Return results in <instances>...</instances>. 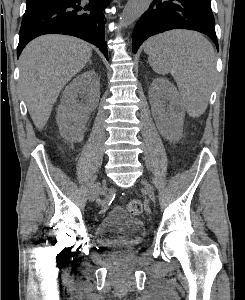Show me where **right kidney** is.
<instances>
[{
    "mask_svg": "<svg viewBox=\"0 0 245 300\" xmlns=\"http://www.w3.org/2000/svg\"><path fill=\"white\" fill-rule=\"evenodd\" d=\"M78 97L82 100L79 101ZM99 99V78L94 70L85 71L73 79L65 88L57 111L61 136L71 142H80L85 124Z\"/></svg>",
    "mask_w": 245,
    "mask_h": 300,
    "instance_id": "right-kidney-1",
    "label": "right kidney"
}]
</instances>
